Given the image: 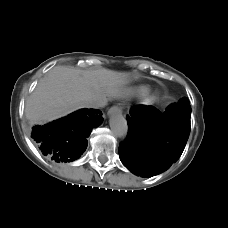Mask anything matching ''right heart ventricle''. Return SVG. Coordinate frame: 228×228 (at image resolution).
<instances>
[{
  "label": "right heart ventricle",
  "mask_w": 228,
  "mask_h": 228,
  "mask_svg": "<svg viewBox=\"0 0 228 228\" xmlns=\"http://www.w3.org/2000/svg\"><path fill=\"white\" fill-rule=\"evenodd\" d=\"M149 89L145 86H138V87H135L132 91L133 94L135 95H145L146 93H148Z\"/></svg>",
  "instance_id": "obj_1"
}]
</instances>
